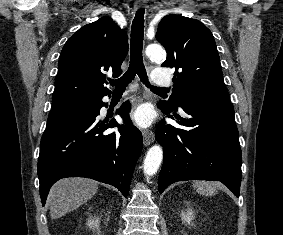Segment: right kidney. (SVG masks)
<instances>
[{
  "instance_id": "1",
  "label": "right kidney",
  "mask_w": 283,
  "mask_h": 235,
  "mask_svg": "<svg viewBox=\"0 0 283 235\" xmlns=\"http://www.w3.org/2000/svg\"><path fill=\"white\" fill-rule=\"evenodd\" d=\"M87 226H89L90 228H93V229H95V228H97L98 229V227H99V219L97 218L96 220H88L87 221Z\"/></svg>"
}]
</instances>
